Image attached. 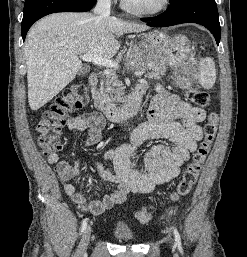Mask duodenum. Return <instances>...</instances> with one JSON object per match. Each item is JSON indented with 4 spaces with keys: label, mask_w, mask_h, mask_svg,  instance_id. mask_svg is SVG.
<instances>
[{
    "label": "duodenum",
    "mask_w": 247,
    "mask_h": 257,
    "mask_svg": "<svg viewBox=\"0 0 247 257\" xmlns=\"http://www.w3.org/2000/svg\"><path fill=\"white\" fill-rule=\"evenodd\" d=\"M98 82V74L93 72L88 77V86L94 107L103 113L111 121H123L137 114L140 109L142 97L147 91L145 84H138L128 100L120 106L106 104L95 91Z\"/></svg>",
    "instance_id": "1"
}]
</instances>
